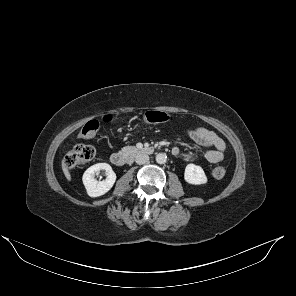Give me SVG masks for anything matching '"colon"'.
<instances>
[{"instance_id": "colon-1", "label": "colon", "mask_w": 296, "mask_h": 296, "mask_svg": "<svg viewBox=\"0 0 296 296\" xmlns=\"http://www.w3.org/2000/svg\"><path fill=\"white\" fill-rule=\"evenodd\" d=\"M170 115L162 111H147L143 115V120L149 124L165 123L170 120ZM110 117H105L104 121H109ZM99 127V121L91 120L87 122L80 130L79 136L83 139L92 138ZM95 156V149L85 144H77L69 150L65 156L64 164L68 169L81 167L90 162ZM226 174V168L223 165H217L212 169V175L221 179Z\"/></svg>"}]
</instances>
